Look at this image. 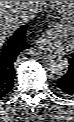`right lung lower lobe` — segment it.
<instances>
[{
  "instance_id": "98d812e1",
  "label": "right lung lower lobe",
  "mask_w": 74,
  "mask_h": 122,
  "mask_svg": "<svg viewBox=\"0 0 74 122\" xmlns=\"http://www.w3.org/2000/svg\"><path fill=\"white\" fill-rule=\"evenodd\" d=\"M27 26L10 37L7 44L0 47V99L6 96L14 84V62L20 52L27 49L29 44L25 39Z\"/></svg>"
}]
</instances>
